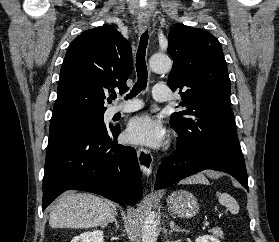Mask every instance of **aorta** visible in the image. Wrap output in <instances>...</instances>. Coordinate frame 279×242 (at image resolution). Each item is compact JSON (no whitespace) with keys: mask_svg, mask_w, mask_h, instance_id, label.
Returning <instances> with one entry per match:
<instances>
[{"mask_svg":"<svg viewBox=\"0 0 279 242\" xmlns=\"http://www.w3.org/2000/svg\"><path fill=\"white\" fill-rule=\"evenodd\" d=\"M150 68L156 73H167L172 68L171 59L165 54H154L149 61ZM155 212L148 211L144 219L141 236L142 242H155L157 237V222Z\"/></svg>","mask_w":279,"mask_h":242,"instance_id":"762f6f07","label":"aorta"}]
</instances>
